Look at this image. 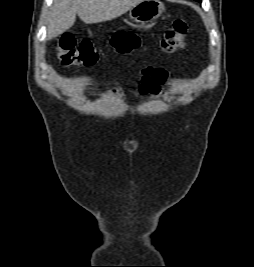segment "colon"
I'll return each mask as SVG.
<instances>
[{
  "instance_id": "obj_1",
  "label": "colon",
  "mask_w": 254,
  "mask_h": 267,
  "mask_svg": "<svg viewBox=\"0 0 254 267\" xmlns=\"http://www.w3.org/2000/svg\"><path fill=\"white\" fill-rule=\"evenodd\" d=\"M188 25L184 20H176L159 43L163 53H174L185 45ZM111 46L121 54H127L141 47L140 39L126 32H118L110 40ZM58 57L67 67L91 66L99 58L96 46L89 40L78 41L72 32L63 34L57 45Z\"/></svg>"
}]
</instances>
